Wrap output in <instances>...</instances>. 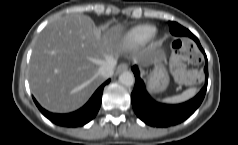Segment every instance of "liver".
Segmentation results:
<instances>
[{
	"label": "liver",
	"instance_id": "liver-1",
	"mask_svg": "<svg viewBox=\"0 0 238 145\" xmlns=\"http://www.w3.org/2000/svg\"><path fill=\"white\" fill-rule=\"evenodd\" d=\"M124 26L97 27L85 15L67 16L49 24L38 36L28 79L38 102L55 113L80 108L104 81L99 68L125 53ZM161 53L150 47L133 56L144 66L154 64Z\"/></svg>",
	"mask_w": 238,
	"mask_h": 145
}]
</instances>
